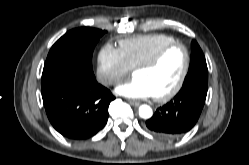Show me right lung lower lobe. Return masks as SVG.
<instances>
[{"label": "right lung lower lobe", "instance_id": "obj_1", "mask_svg": "<svg viewBox=\"0 0 249 165\" xmlns=\"http://www.w3.org/2000/svg\"><path fill=\"white\" fill-rule=\"evenodd\" d=\"M42 98L53 127L74 140L90 138L103 129L115 99L95 77L61 64L44 66Z\"/></svg>", "mask_w": 249, "mask_h": 165}]
</instances>
